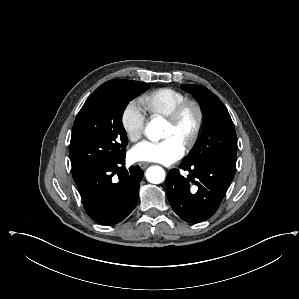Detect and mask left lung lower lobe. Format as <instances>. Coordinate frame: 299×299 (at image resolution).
I'll use <instances>...</instances> for the list:
<instances>
[{
    "instance_id": "left-lung-lower-lobe-1",
    "label": "left lung lower lobe",
    "mask_w": 299,
    "mask_h": 299,
    "mask_svg": "<svg viewBox=\"0 0 299 299\" xmlns=\"http://www.w3.org/2000/svg\"><path fill=\"white\" fill-rule=\"evenodd\" d=\"M180 168L189 172L183 177L170 170L166 178L167 197L174 212L183 220L198 223L209 219L218 209L231 181L235 167L217 160L183 162Z\"/></svg>"
}]
</instances>
